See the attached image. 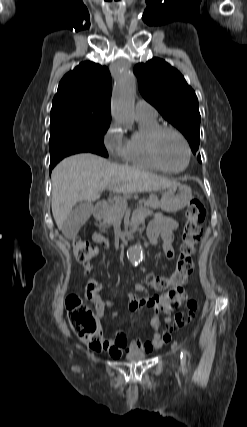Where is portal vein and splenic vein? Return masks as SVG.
<instances>
[{"label": "portal vein and splenic vein", "mask_w": 247, "mask_h": 427, "mask_svg": "<svg viewBox=\"0 0 247 427\" xmlns=\"http://www.w3.org/2000/svg\"><path fill=\"white\" fill-rule=\"evenodd\" d=\"M115 200H118V201H119V200H120V198H119V197H116V198H115ZM144 202H145V199H141V200L139 201V203H140V204H141V203H144Z\"/></svg>", "instance_id": "portal-vein-and-splenic-vein-1"}]
</instances>
